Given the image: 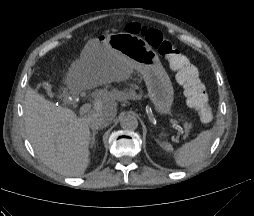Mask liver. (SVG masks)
Here are the masks:
<instances>
[{
	"instance_id": "liver-1",
	"label": "liver",
	"mask_w": 254,
	"mask_h": 216,
	"mask_svg": "<svg viewBox=\"0 0 254 216\" xmlns=\"http://www.w3.org/2000/svg\"><path fill=\"white\" fill-rule=\"evenodd\" d=\"M86 47L80 58L85 54ZM132 69L120 55L110 57L104 66L76 67L72 64L66 82L81 89H92L131 77ZM120 94L101 90L93 103V109L78 117L74 111L58 106L44 96L28 88L24 99V120L28 139L45 165L65 176L78 177L90 162L91 134L89 118L98 114L112 121L117 115Z\"/></svg>"
}]
</instances>
